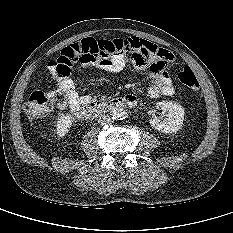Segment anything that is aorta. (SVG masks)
I'll return each mask as SVG.
<instances>
[{
  "label": "aorta",
  "mask_w": 233,
  "mask_h": 233,
  "mask_svg": "<svg viewBox=\"0 0 233 233\" xmlns=\"http://www.w3.org/2000/svg\"><path fill=\"white\" fill-rule=\"evenodd\" d=\"M111 116L113 119H116V120H124L128 117V113L123 108H114L111 111Z\"/></svg>",
  "instance_id": "1"
}]
</instances>
